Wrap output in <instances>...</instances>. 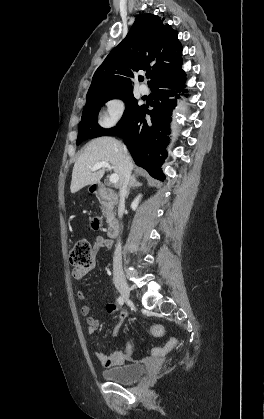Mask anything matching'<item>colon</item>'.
<instances>
[{
    "instance_id": "5ec220e1",
    "label": "colon",
    "mask_w": 264,
    "mask_h": 419,
    "mask_svg": "<svg viewBox=\"0 0 264 419\" xmlns=\"http://www.w3.org/2000/svg\"><path fill=\"white\" fill-rule=\"evenodd\" d=\"M103 225L100 218H93L90 222L92 229L97 230ZM70 264L77 268H91L94 262V255L92 252V246L87 240H79L75 243L74 247L69 254ZM159 331L154 330L151 332L152 336L156 337ZM174 342L173 345H176Z\"/></svg>"
}]
</instances>
